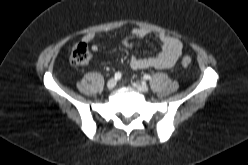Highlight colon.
I'll use <instances>...</instances> for the list:
<instances>
[{"label":"colon","mask_w":248,"mask_h":165,"mask_svg":"<svg viewBox=\"0 0 248 165\" xmlns=\"http://www.w3.org/2000/svg\"><path fill=\"white\" fill-rule=\"evenodd\" d=\"M91 53L86 43L76 44L70 54V62L75 66H84L89 63ZM192 60L189 56L182 58L181 63L183 66H189Z\"/></svg>","instance_id":"5ec220e1"}]
</instances>
